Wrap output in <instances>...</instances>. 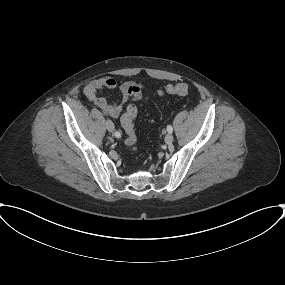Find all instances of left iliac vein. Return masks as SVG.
<instances>
[{
  "instance_id": "obj_1",
  "label": "left iliac vein",
  "mask_w": 285,
  "mask_h": 285,
  "mask_svg": "<svg viewBox=\"0 0 285 285\" xmlns=\"http://www.w3.org/2000/svg\"><path fill=\"white\" fill-rule=\"evenodd\" d=\"M172 142H173V135H172V133H168L165 136V143L166 144H171Z\"/></svg>"
}]
</instances>
